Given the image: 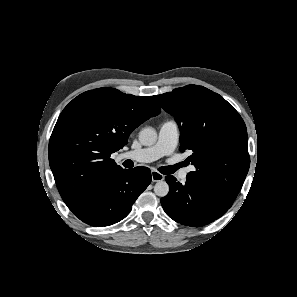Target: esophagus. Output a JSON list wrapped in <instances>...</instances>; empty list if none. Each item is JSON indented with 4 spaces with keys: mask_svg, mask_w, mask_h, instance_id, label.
I'll return each mask as SVG.
<instances>
[{
    "mask_svg": "<svg viewBox=\"0 0 297 297\" xmlns=\"http://www.w3.org/2000/svg\"><path fill=\"white\" fill-rule=\"evenodd\" d=\"M151 178L153 182H160L164 179V175H162L161 173L157 172V171H152L151 172Z\"/></svg>",
    "mask_w": 297,
    "mask_h": 297,
    "instance_id": "esophagus-1",
    "label": "esophagus"
}]
</instances>
